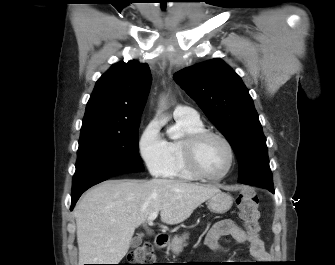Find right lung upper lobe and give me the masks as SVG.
<instances>
[{"instance_id": "1", "label": "right lung upper lobe", "mask_w": 335, "mask_h": 265, "mask_svg": "<svg viewBox=\"0 0 335 265\" xmlns=\"http://www.w3.org/2000/svg\"><path fill=\"white\" fill-rule=\"evenodd\" d=\"M151 75L148 64L118 62L97 81L87 103L81 133L120 130L140 121Z\"/></svg>"}]
</instances>
